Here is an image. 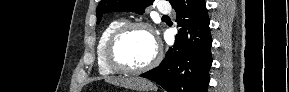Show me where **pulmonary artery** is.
Returning a JSON list of instances; mask_svg holds the SVG:
<instances>
[{
  "label": "pulmonary artery",
  "instance_id": "obj_1",
  "mask_svg": "<svg viewBox=\"0 0 289 92\" xmlns=\"http://www.w3.org/2000/svg\"><path fill=\"white\" fill-rule=\"evenodd\" d=\"M158 11L162 14H168L171 12V8L168 4L161 3L158 5Z\"/></svg>",
  "mask_w": 289,
  "mask_h": 92
}]
</instances>
